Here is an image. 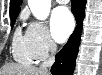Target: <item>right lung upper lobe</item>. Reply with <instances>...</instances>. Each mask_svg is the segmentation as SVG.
I'll use <instances>...</instances> for the list:
<instances>
[{
	"instance_id": "right-lung-upper-lobe-1",
	"label": "right lung upper lobe",
	"mask_w": 102,
	"mask_h": 75,
	"mask_svg": "<svg viewBox=\"0 0 102 75\" xmlns=\"http://www.w3.org/2000/svg\"><path fill=\"white\" fill-rule=\"evenodd\" d=\"M22 0H10V16L18 15Z\"/></svg>"
}]
</instances>
